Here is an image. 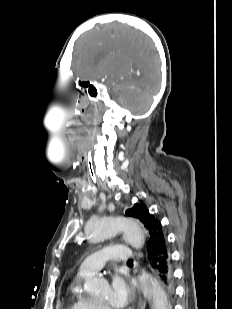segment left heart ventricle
<instances>
[{
    "label": "left heart ventricle",
    "mask_w": 232,
    "mask_h": 309,
    "mask_svg": "<svg viewBox=\"0 0 232 309\" xmlns=\"http://www.w3.org/2000/svg\"><path fill=\"white\" fill-rule=\"evenodd\" d=\"M99 303L101 304H109L110 303V289L106 288L103 296L101 297V299H99Z\"/></svg>",
    "instance_id": "obj_1"
}]
</instances>
